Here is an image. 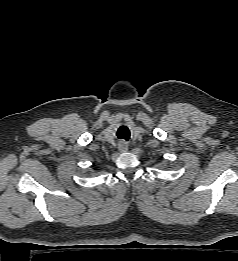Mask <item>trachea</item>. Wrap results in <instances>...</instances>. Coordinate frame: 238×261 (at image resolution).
<instances>
[{
	"mask_svg": "<svg viewBox=\"0 0 238 261\" xmlns=\"http://www.w3.org/2000/svg\"><path fill=\"white\" fill-rule=\"evenodd\" d=\"M123 128H125V127H121L118 130L117 136H118L119 139H124V140L128 141L129 138H130V132L127 128L125 130H123Z\"/></svg>",
	"mask_w": 238,
	"mask_h": 261,
	"instance_id": "3493384b",
	"label": "trachea"
}]
</instances>
